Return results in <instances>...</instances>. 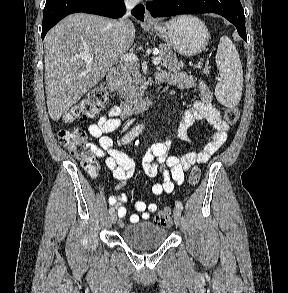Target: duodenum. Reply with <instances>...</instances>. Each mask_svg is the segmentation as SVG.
<instances>
[{
	"instance_id": "duodenum-1",
	"label": "duodenum",
	"mask_w": 288,
	"mask_h": 293,
	"mask_svg": "<svg viewBox=\"0 0 288 293\" xmlns=\"http://www.w3.org/2000/svg\"><path fill=\"white\" fill-rule=\"evenodd\" d=\"M106 81L108 88L111 91H115L117 88V77L116 70L114 68L110 69L107 76ZM157 86H160L164 83V80L157 76L155 81ZM156 100V94L150 93L146 96L124 100L121 102V109L125 114L133 113V112H142L148 109Z\"/></svg>"
}]
</instances>
